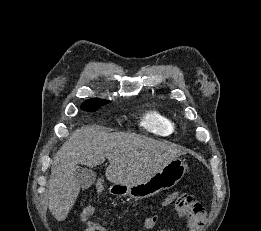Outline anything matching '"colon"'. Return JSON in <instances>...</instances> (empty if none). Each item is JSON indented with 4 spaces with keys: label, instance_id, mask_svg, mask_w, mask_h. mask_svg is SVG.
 <instances>
[{
    "label": "colon",
    "instance_id": "colon-1",
    "mask_svg": "<svg viewBox=\"0 0 261 231\" xmlns=\"http://www.w3.org/2000/svg\"><path fill=\"white\" fill-rule=\"evenodd\" d=\"M170 201L174 204L179 216L202 225L208 221L207 211L193 195L180 191L174 192Z\"/></svg>",
    "mask_w": 261,
    "mask_h": 231
}]
</instances>
